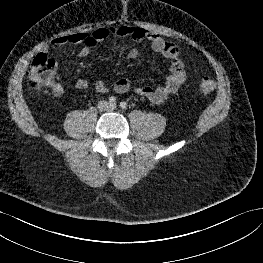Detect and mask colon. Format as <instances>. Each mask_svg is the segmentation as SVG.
I'll return each instance as SVG.
<instances>
[{
    "label": "colon",
    "mask_w": 263,
    "mask_h": 263,
    "mask_svg": "<svg viewBox=\"0 0 263 263\" xmlns=\"http://www.w3.org/2000/svg\"><path fill=\"white\" fill-rule=\"evenodd\" d=\"M57 64L54 59L45 54H38L31 63L28 75V84L34 90H42L50 86L56 76ZM216 88L215 81L210 77H202L198 83V91L201 94H210Z\"/></svg>",
    "instance_id": "5ec220e1"
}]
</instances>
